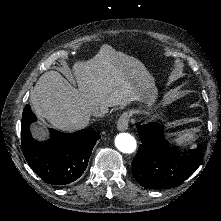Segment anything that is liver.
<instances>
[{
  "mask_svg": "<svg viewBox=\"0 0 221 221\" xmlns=\"http://www.w3.org/2000/svg\"><path fill=\"white\" fill-rule=\"evenodd\" d=\"M111 51V46L103 45L95 57L75 64L79 89L58 71L42 74L30 93L32 111L53 127L74 132L88 125L94 107L126 105L138 100L136 88L142 86L138 77L144 72L113 62ZM120 57L124 58V54ZM30 130L35 139L48 138L44 126L33 123Z\"/></svg>",
  "mask_w": 221,
  "mask_h": 221,
  "instance_id": "obj_1",
  "label": "liver"
}]
</instances>
